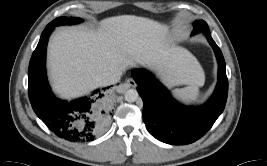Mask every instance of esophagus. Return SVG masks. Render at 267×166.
Masks as SVG:
<instances>
[{
    "instance_id": "34e87169",
    "label": "esophagus",
    "mask_w": 267,
    "mask_h": 166,
    "mask_svg": "<svg viewBox=\"0 0 267 166\" xmlns=\"http://www.w3.org/2000/svg\"><path fill=\"white\" fill-rule=\"evenodd\" d=\"M136 82L134 81V79L132 78H129L126 80L125 83L123 84H120L119 87H118V92L122 93L125 91V89H128L130 87H136Z\"/></svg>"
}]
</instances>
